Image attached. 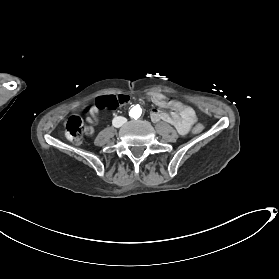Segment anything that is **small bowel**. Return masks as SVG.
Returning <instances> with one entry per match:
<instances>
[{
	"instance_id": "1",
	"label": "small bowel",
	"mask_w": 279,
	"mask_h": 279,
	"mask_svg": "<svg viewBox=\"0 0 279 279\" xmlns=\"http://www.w3.org/2000/svg\"><path fill=\"white\" fill-rule=\"evenodd\" d=\"M150 101L157 107L162 108H171L172 113L168 114L158 109H152L151 111V119L155 122L165 121L170 123L175 127L177 132L180 135H185L189 132L191 127L196 121L194 113H181L179 111L180 102L176 100H169L164 95L160 93H151L149 95ZM98 110L96 108H92L87 117V121L90 124H93L97 120Z\"/></svg>"
}]
</instances>
